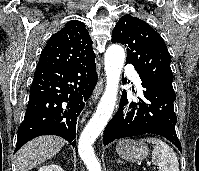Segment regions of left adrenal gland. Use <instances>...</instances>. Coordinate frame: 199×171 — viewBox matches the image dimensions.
I'll return each mask as SVG.
<instances>
[{"mask_svg": "<svg viewBox=\"0 0 199 171\" xmlns=\"http://www.w3.org/2000/svg\"><path fill=\"white\" fill-rule=\"evenodd\" d=\"M117 163H121V161H120V160H117Z\"/></svg>", "mask_w": 199, "mask_h": 171, "instance_id": "a2214340", "label": "left adrenal gland"}]
</instances>
